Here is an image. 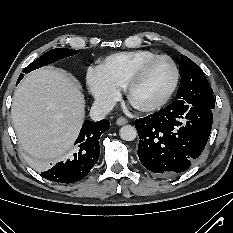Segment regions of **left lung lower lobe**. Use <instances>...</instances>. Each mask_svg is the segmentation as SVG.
<instances>
[{
    "label": "left lung lower lobe",
    "mask_w": 233,
    "mask_h": 233,
    "mask_svg": "<svg viewBox=\"0 0 233 233\" xmlns=\"http://www.w3.org/2000/svg\"><path fill=\"white\" fill-rule=\"evenodd\" d=\"M212 108L172 102L135 121L142 165L161 177L187 170L202 153L212 127Z\"/></svg>",
    "instance_id": "1"
}]
</instances>
